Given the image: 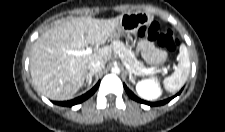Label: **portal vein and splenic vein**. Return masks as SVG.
Masks as SVG:
<instances>
[{
  "label": "portal vein and splenic vein",
  "mask_w": 225,
  "mask_h": 132,
  "mask_svg": "<svg viewBox=\"0 0 225 132\" xmlns=\"http://www.w3.org/2000/svg\"><path fill=\"white\" fill-rule=\"evenodd\" d=\"M93 52L92 48H87L84 50H79V51H73V50H69L68 54L74 55V56H82V55H88L91 54ZM164 70H166V68H163ZM154 68H149V69H145L142 71V73H146V72H151L153 71Z\"/></svg>",
  "instance_id": "18ae733b"
}]
</instances>
